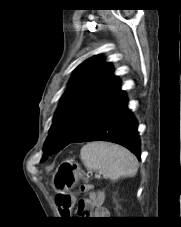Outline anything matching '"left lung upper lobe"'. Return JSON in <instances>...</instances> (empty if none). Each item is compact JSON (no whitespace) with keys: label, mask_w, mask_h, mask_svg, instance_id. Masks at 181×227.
I'll list each match as a JSON object with an SVG mask.
<instances>
[{"label":"left lung upper lobe","mask_w":181,"mask_h":227,"mask_svg":"<svg viewBox=\"0 0 181 227\" xmlns=\"http://www.w3.org/2000/svg\"><path fill=\"white\" fill-rule=\"evenodd\" d=\"M119 87L110 63L100 56H92L80 64L61 98L41 161L70 144L95 110Z\"/></svg>","instance_id":"obj_1"}]
</instances>
